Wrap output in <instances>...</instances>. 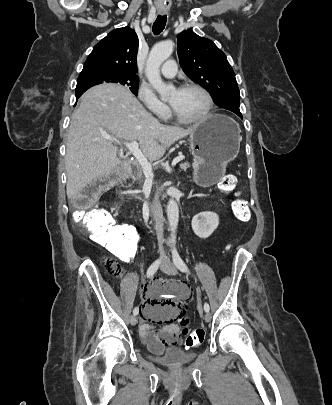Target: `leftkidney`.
<instances>
[{
	"instance_id": "left-kidney-1",
	"label": "left kidney",
	"mask_w": 332,
	"mask_h": 405,
	"mask_svg": "<svg viewBox=\"0 0 332 405\" xmlns=\"http://www.w3.org/2000/svg\"><path fill=\"white\" fill-rule=\"evenodd\" d=\"M219 217L214 212H201L192 219V229L200 238H208L218 227Z\"/></svg>"
}]
</instances>
